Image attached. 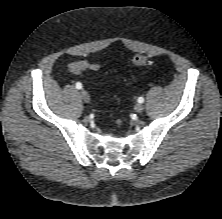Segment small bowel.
Returning a JSON list of instances; mask_svg holds the SVG:
<instances>
[{
  "instance_id": "obj_1",
  "label": "small bowel",
  "mask_w": 222,
  "mask_h": 219,
  "mask_svg": "<svg viewBox=\"0 0 222 219\" xmlns=\"http://www.w3.org/2000/svg\"><path fill=\"white\" fill-rule=\"evenodd\" d=\"M96 64L88 61H74L69 64V70L74 74H79L82 71H94Z\"/></svg>"
}]
</instances>
